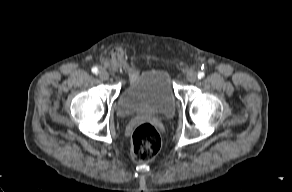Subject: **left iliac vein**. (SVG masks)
<instances>
[{
    "mask_svg": "<svg viewBox=\"0 0 292 192\" xmlns=\"http://www.w3.org/2000/svg\"><path fill=\"white\" fill-rule=\"evenodd\" d=\"M186 78L189 82L194 83L197 80V74L193 70L187 72Z\"/></svg>",
    "mask_w": 292,
    "mask_h": 192,
    "instance_id": "4c4485c4",
    "label": "left iliac vein"
}]
</instances>
